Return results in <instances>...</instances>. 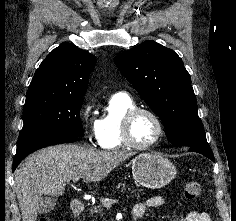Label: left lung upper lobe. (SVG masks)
Listing matches in <instances>:
<instances>
[{
	"label": "left lung upper lobe",
	"mask_w": 236,
	"mask_h": 221,
	"mask_svg": "<svg viewBox=\"0 0 236 221\" xmlns=\"http://www.w3.org/2000/svg\"><path fill=\"white\" fill-rule=\"evenodd\" d=\"M115 63L162 120L173 145L208 144L190 75L176 52L148 40L117 55Z\"/></svg>",
	"instance_id": "5c2ea615"
}]
</instances>
